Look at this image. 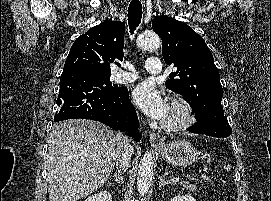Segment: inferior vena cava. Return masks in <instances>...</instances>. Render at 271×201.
Segmentation results:
<instances>
[{
    "label": "inferior vena cava",
    "instance_id": "602c4592",
    "mask_svg": "<svg viewBox=\"0 0 271 201\" xmlns=\"http://www.w3.org/2000/svg\"><path fill=\"white\" fill-rule=\"evenodd\" d=\"M116 138L119 144V150L116 155V168L118 173L122 175L128 169L133 148L131 139L127 135L118 132Z\"/></svg>",
    "mask_w": 271,
    "mask_h": 201
}]
</instances>
